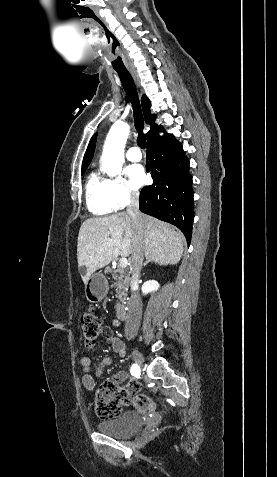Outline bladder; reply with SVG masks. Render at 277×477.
<instances>
[{"mask_svg":"<svg viewBox=\"0 0 277 477\" xmlns=\"http://www.w3.org/2000/svg\"><path fill=\"white\" fill-rule=\"evenodd\" d=\"M143 425L142 416L136 411H124L97 424L98 430L113 437H126L137 432Z\"/></svg>","mask_w":277,"mask_h":477,"instance_id":"obj_1","label":"bladder"}]
</instances>
